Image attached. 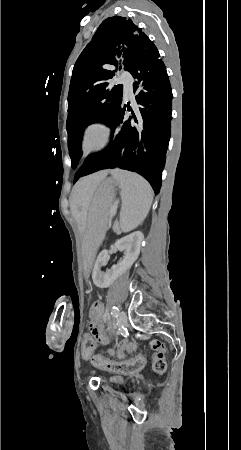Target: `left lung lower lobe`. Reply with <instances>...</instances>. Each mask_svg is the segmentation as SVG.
I'll return each mask as SVG.
<instances>
[{
    "label": "left lung lower lobe",
    "mask_w": 241,
    "mask_h": 450,
    "mask_svg": "<svg viewBox=\"0 0 241 450\" xmlns=\"http://www.w3.org/2000/svg\"><path fill=\"white\" fill-rule=\"evenodd\" d=\"M128 71L137 79L134 92L140 90L135 96L137 117L131 110L133 118L124 121L125 107L120 104L107 123L112 130L107 148L88 157L74 182L98 170L118 167L139 173L159 193L171 132V85L155 45L134 59Z\"/></svg>",
    "instance_id": "obj_1"
}]
</instances>
